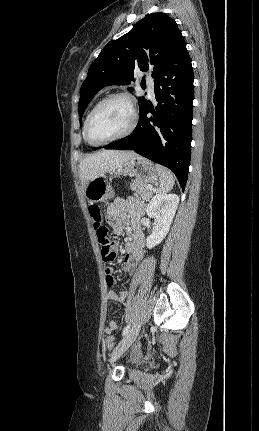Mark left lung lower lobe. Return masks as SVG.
<instances>
[{
    "label": "left lung lower lobe",
    "mask_w": 259,
    "mask_h": 431,
    "mask_svg": "<svg viewBox=\"0 0 259 431\" xmlns=\"http://www.w3.org/2000/svg\"><path fill=\"white\" fill-rule=\"evenodd\" d=\"M154 110L150 101L140 105L139 122L134 132L104 148L134 150L168 167L182 190L188 178L192 133L193 70L184 39L162 64L154 77ZM152 113L148 118L147 114Z\"/></svg>",
    "instance_id": "obj_1"
}]
</instances>
